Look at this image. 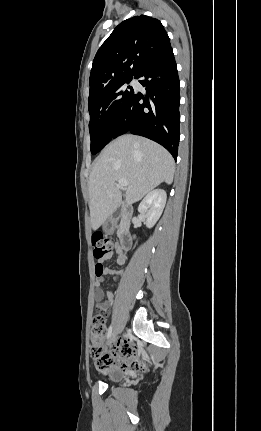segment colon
I'll return each mask as SVG.
<instances>
[{
	"instance_id": "1",
	"label": "colon",
	"mask_w": 261,
	"mask_h": 431,
	"mask_svg": "<svg viewBox=\"0 0 261 431\" xmlns=\"http://www.w3.org/2000/svg\"><path fill=\"white\" fill-rule=\"evenodd\" d=\"M92 244L94 256L99 261L105 259L113 249L112 241L102 234L93 235ZM103 267V264L100 262L96 264V275L102 274ZM104 335L105 319L103 316L97 315L93 318L91 325L90 354L99 369L109 370L112 367L129 369L131 371L141 369L140 364L134 359L135 351L130 343L124 341L122 344L115 346L110 353H107L103 346Z\"/></svg>"
}]
</instances>
